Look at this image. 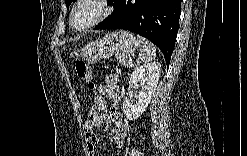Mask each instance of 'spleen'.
<instances>
[{"mask_svg": "<svg viewBox=\"0 0 247 156\" xmlns=\"http://www.w3.org/2000/svg\"><path fill=\"white\" fill-rule=\"evenodd\" d=\"M139 44V59L143 62H149L156 57V47L147 39L137 35Z\"/></svg>", "mask_w": 247, "mask_h": 156, "instance_id": "obj_1", "label": "spleen"}]
</instances>
